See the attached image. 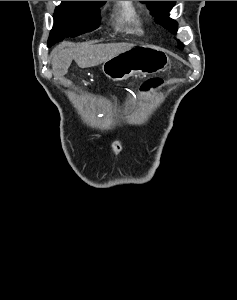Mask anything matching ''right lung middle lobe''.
Returning <instances> with one entry per match:
<instances>
[{
  "label": "right lung middle lobe",
  "instance_id": "right-lung-middle-lobe-1",
  "mask_svg": "<svg viewBox=\"0 0 237 300\" xmlns=\"http://www.w3.org/2000/svg\"><path fill=\"white\" fill-rule=\"evenodd\" d=\"M106 1H62L54 13L48 47L65 37H76L96 29L100 23L99 7Z\"/></svg>",
  "mask_w": 237,
  "mask_h": 300
}]
</instances>
